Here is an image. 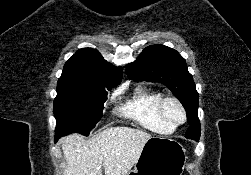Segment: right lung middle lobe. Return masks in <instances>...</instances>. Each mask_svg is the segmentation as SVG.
<instances>
[{
  "instance_id": "right-lung-middle-lobe-1",
  "label": "right lung middle lobe",
  "mask_w": 251,
  "mask_h": 175,
  "mask_svg": "<svg viewBox=\"0 0 251 175\" xmlns=\"http://www.w3.org/2000/svg\"><path fill=\"white\" fill-rule=\"evenodd\" d=\"M111 89L58 82L53 106L56 136L73 132L88 136L102 117L103 104Z\"/></svg>"
}]
</instances>
